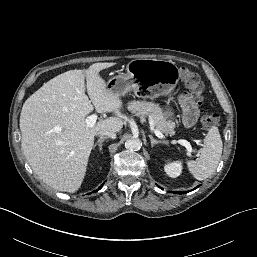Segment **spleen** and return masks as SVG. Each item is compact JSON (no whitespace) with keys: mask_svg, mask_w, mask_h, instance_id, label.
<instances>
[{"mask_svg":"<svg viewBox=\"0 0 257 257\" xmlns=\"http://www.w3.org/2000/svg\"><path fill=\"white\" fill-rule=\"evenodd\" d=\"M222 147L218 128L213 126L203 140L199 157L187 161V167L195 179L202 181L213 174L219 164Z\"/></svg>","mask_w":257,"mask_h":257,"instance_id":"spleen-1","label":"spleen"}]
</instances>
